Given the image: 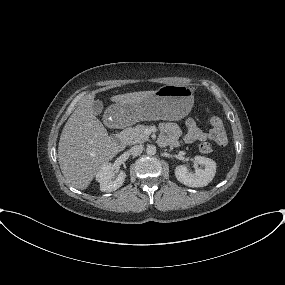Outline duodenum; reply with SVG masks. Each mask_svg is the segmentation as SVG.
<instances>
[{"instance_id":"410a0bca","label":"duodenum","mask_w":285,"mask_h":285,"mask_svg":"<svg viewBox=\"0 0 285 285\" xmlns=\"http://www.w3.org/2000/svg\"><path fill=\"white\" fill-rule=\"evenodd\" d=\"M114 142L118 145H120L122 143V140L119 137H115L114 138Z\"/></svg>"}]
</instances>
